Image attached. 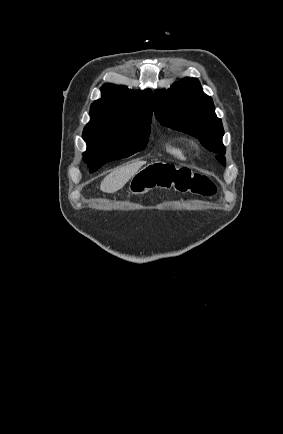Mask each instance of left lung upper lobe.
Returning <instances> with one entry per match:
<instances>
[{
    "mask_svg": "<svg viewBox=\"0 0 283 434\" xmlns=\"http://www.w3.org/2000/svg\"><path fill=\"white\" fill-rule=\"evenodd\" d=\"M154 112L163 126L194 136L225 165L222 122L197 78H183L168 90L155 91Z\"/></svg>",
    "mask_w": 283,
    "mask_h": 434,
    "instance_id": "1",
    "label": "left lung upper lobe"
}]
</instances>
